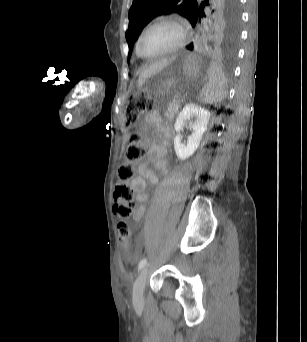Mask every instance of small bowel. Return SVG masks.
<instances>
[{
	"label": "small bowel",
	"mask_w": 307,
	"mask_h": 342,
	"mask_svg": "<svg viewBox=\"0 0 307 342\" xmlns=\"http://www.w3.org/2000/svg\"><path fill=\"white\" fill-rule=\"evenodd\" d=\"M144 128L146 130L153 129L155 134L160 139V143L157 144L153 142L151 138H147V160L140 162L137 165V174L129 182V185L133 191L134 200L137 204L133 213V219L135 221H139L147 210V194L145 191L147 182H150L154 185L158 183V177L151 168L150 164H152L163 174L168 173L166 153L170 144V140L174 136L173 129L162 123L155 113H148L144 117Z\"/></svg>",
	"instance_id": "1"
}]
</instances>
